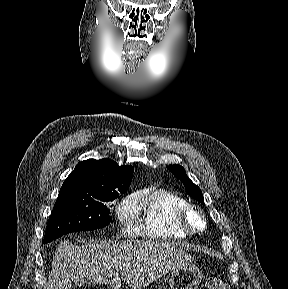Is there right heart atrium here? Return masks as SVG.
<instances>
[{"label":"right heart atrium","instance_id":"right-heart-atrium-1","mask_svg":"<svg viewBox=\"0 0 288 289\" xmlns=\"http://www.w3.org/2000/svg\"><path fill=\"white\" fill-rule=\"evenodd\" d=\"M117 217L122 225L123 231L127 234H131L135 231V224L133 221L134 206L130 198L122 200L116 208Z\"/></svg>","mask_w":288,"mask_h":289}]
</instances>
